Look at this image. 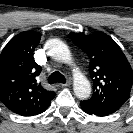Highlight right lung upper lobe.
Returning <instances> with one entry per match:
<instances>
[{"instance_id":"cb5924a9","label":"right lung upper lobe","mask_w":133,"mask_h":133,"mask_svg":"<svg viewBox=\"0 0 133 133\" xmlns=\"http://www.w3.org/2000/svg\"><path fill=\"white\" fill-rule=\"evenodd\" d=\"M41 34L24 31L14 36L0 54V100L12 112L33 116L44 112L55 93L37 84L41 67L33 53Z\"/></svg>"}]
</instances>
